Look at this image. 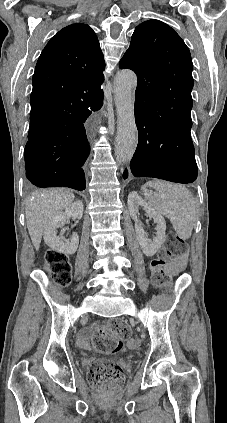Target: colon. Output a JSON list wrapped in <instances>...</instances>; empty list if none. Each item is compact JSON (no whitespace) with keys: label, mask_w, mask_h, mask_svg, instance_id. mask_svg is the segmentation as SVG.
Wrapping results in <instances>:
<instances>
[{"label":"colon","mask_w":227,"mask_h":423,"mask_svg":"<svg viewBox=\"0 0 227 423\" xmlns=\"http://www.w3.org/2000/svg\"><path fill=\"white\" fill-rule=\"evenodd\" d=\"M184 253L183 240L175 233H169L165 245L158 256L151 262L152 281L155 286H167L168 267ZM45 263L55 283L59 286L68 285L71 280V266L68 257L55 250H48ZM129 336V328L123 321H115L101 327L95 337L96 350L103 353L117 352L122 348V339ZM88 378L91 384L107 393L116 390L123 382V370L119 364L110 360L97 361L89 367Z\"/></svg>","instance_id":"5ec220e1"}]
</instances>
